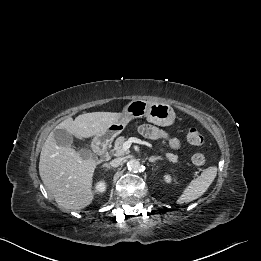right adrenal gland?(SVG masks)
<instances>
[{
    "mask_svg": "<svg viewBox=\"0 0 261 261\" xmlns=\"http://www.w3.org/2000/svg\"><path fill=\"white\" fill-rule=\"evenodd\" d=\"M102 167H106L107 169H111L110 165L107 164V163L103 164Z\"/></svg>",
    "mask_w": 261,
    "mask_h": 261,
    "instance_id": "1",
    "label": "right adrenal gland"
}]
</instances>
